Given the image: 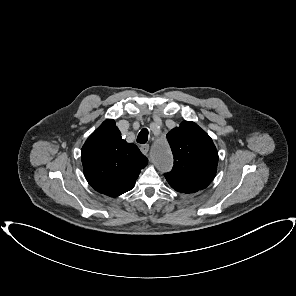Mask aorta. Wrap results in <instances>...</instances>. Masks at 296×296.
<instances>
[{
  "mask_svg": "<svg viewBox=\"0 0 296 296\" xmlns=\"http://www.w3.org/2000/svg\"><path fill=\"white\" fill-rule=\"evenodd\" d=\"M154 160L156 163V166L162 170L166 171L170 169L171 164H172V157L171 154L169 153V150L164 142L158 144L156 146L155 151H154Z\"/></svg>",
  "mask_w": 296,
  "mask_h": 296,
  "instance_id": "1",
  "label": "aorta"
}]
</instances>
